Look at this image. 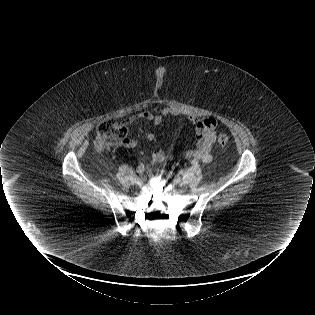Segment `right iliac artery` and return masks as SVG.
<instances>
[{"label":"right iliac artery","instance_id":"1","mask_svg":"<svg viewBox=\"0 0 315 315\" xmlns=\"http://www.w3.org/2000/svg\"><path fill=\"white\" fill-rule=\"evenodd\" d=\"M138 173L142 174L144 172V165L140 164L137 168Z\"/></svg>","mask_w":315,"mask_h":315}]
</instances>
